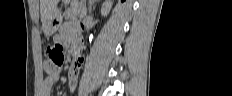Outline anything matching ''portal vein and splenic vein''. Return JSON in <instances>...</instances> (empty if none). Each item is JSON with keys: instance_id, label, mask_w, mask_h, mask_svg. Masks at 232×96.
<instances>
[{"instance_id": "1", "label": "portal vein and splenic vein", "mask_w": 232, "mask_h": 96, "mask_svg": "<svg viewBox=\"0 0 232 96\" xmlns=\"http://www.w3.org/2000/svg\"><path fill=\"white\" fill-rule=\"evenodd\" d=\"M85 14H86V10L84 9V10L82 11L81 17H83Z\"/></svg>"}]
</instances>
